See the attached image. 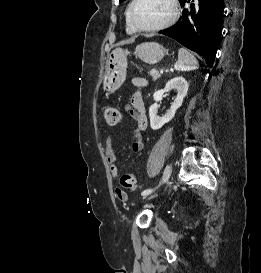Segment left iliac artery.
Here are the masks:
<instances>
[{
	"label": "left iliac artery",
	"mask_w": 261,
	"mask_h": 273,
	"mask_svg": "<svg viewBox=\"0 0 261 273\" xmlns=\"http://www.w3.org/2000/svg\"><path fill=\"white\" fill-rule=\"evenodd\" d=\"M153 191V189H146L144 190L141 195L145 196V195H148L149 193H151Z\"/></svg>",
	"instance_id": "left-iliac-artery-1"
}]
</instances>
